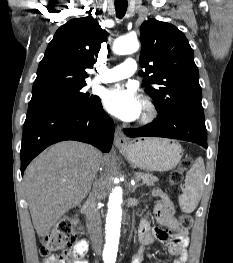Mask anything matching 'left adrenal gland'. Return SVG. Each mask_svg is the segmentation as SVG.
Segmentation results:
<instances>
[{
    "label": "left adrenal gland",
    "instance_id": "obj_1",
    "mask_svg": "<svg viewBox=\"0 0 233 263\" xmlns=\"http://www.w3.org/2000/svg\"><path fill=\"white\" fill-rule=\"evenodd\" d=\"M139 186H141V185H140V184H137V185L133 186L132 189H131V192L134 193L135 190H136Z\"/></svg>",
    "mask_w": 233,
    "mask_h": 263
}]
</instances>
